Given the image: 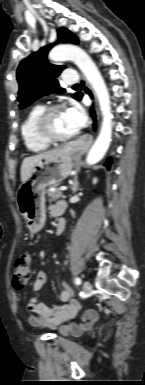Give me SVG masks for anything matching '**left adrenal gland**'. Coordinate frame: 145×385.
Masks as SVG:
<instances>
[{"mask_svg":"<svg viewBox=\"0 0 145 385\" xmlns=\"http://www.w3.org/2000/svg\"><path fill=\"white\" fill-rule=\"evenodd\" d=\"M78 186H79V181H78V176L76 175L74 177L73 183L71 185V189H72L73 194H75L77 192Z\"/></svg>","mask_w":145,"mask_h":385,"instance_id":"1","label":"left adrenal gland"}]
</instances>
